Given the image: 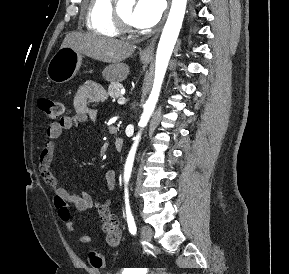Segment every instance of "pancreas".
Segmentation results:
<instances>
[{"label":"pancreas","mask_w":289,"mask_h":274,"mask_svg":"<svg viewBox=\"0 0 289 274\" xmlns=\"http://www.w3.org/2000/svg\"><path fill=\"white\" fill-rule=\"evenodd\" d=\"M122 88V85L120 83H112L108 87V95L113 99H118L121 97L120 90Z\"/></svg>","instance_id":"cf45deb5"}]
</instances>
